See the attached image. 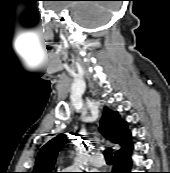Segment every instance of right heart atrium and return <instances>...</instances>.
<instances>
[{"label":"right heart atrium","mask_w":170,"mask_h":173,"mask_svg":"<svg viewBox=\"0 0 170 173\" xmlns=\"http://www.w3.org/2000/svg\"><path fill=\"white\" fill-rule=\"evenodd\" d=\"M66 169L70 170V169H73V167H67ZM66 173H71V172H66Z\"/></svg>","instance_id":"d8ad5b80"}]
</instances>
